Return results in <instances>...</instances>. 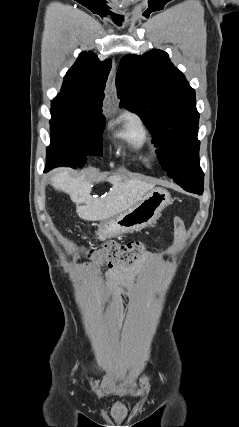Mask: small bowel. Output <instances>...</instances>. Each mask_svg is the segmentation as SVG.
Wrapping results in <instances>:
<instances>
[{"mask_svg": "<svg viewBox=\"0 0 239 427\" xmlns=\"http://www.w3.org/2000/svg\"><path fill=\"white\" fill-rule=\"evenodd\" d=\"M175 226L179 229L178 233H182V222L180 219L175 220ZM159 257L155 254H147L142 259L134 262L129 266L118 265L108 271L109 279L120 288L127 291L135 290L137 279L143 277L145 271L149 267L157 265Z\"/></svg>", "mask_w": 239, "mask_h": 427, "instance_id": "obj_1", "label": "small bowel"}]
</instances>
